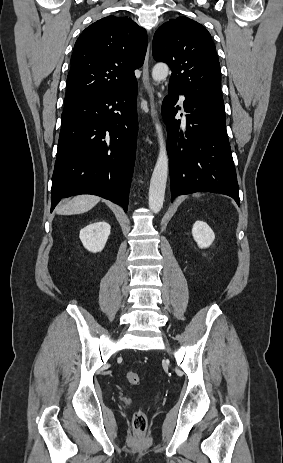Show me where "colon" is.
<instances>
[{
	"mask_svg": "<svg viewBox=\"0 0 283 463\" xmlns=\"http://www.w3.org/2000/svg\"><path fill=\"white\" fill-rule=\"evenodd\" d=\"M126 379L130 384H138L140 381L139 375L133 371L126 373ZM133 425L136 436L141 437L146 427V416L142 411L135 412L133 416Z\"/></svg>",
	"mask_w": 283,
	"mask_h": 463,
	"instance_id": "colon-1",
	"label": "colon"
}]
</instances>
